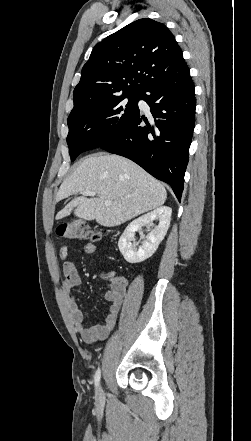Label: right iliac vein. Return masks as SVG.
Wrapping results in <instances>:
<instances>
[{
    "label": "right iliac vein",
    "mask_w": 251,
    "mask_h": 441,
    "mask_svg": "<svg viewBox=\"0 0 251 441\" xmlns=\"http://www.w3.org/2000/svg\"><path fill=\"white\" fill-rule=\"evenodd\" d=\"M97 399L98 400H102L103 399V393H102V390H101V388H99L98 390H97Z\"/></svg>",
    "instance_id": "right-iliac-vein-1"
}]
</instances>
